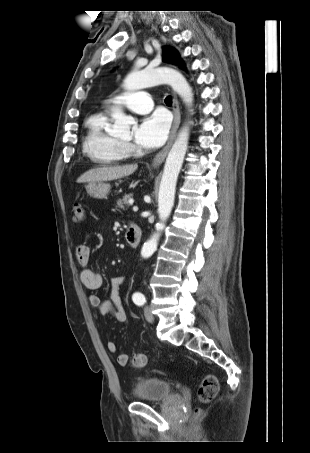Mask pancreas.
Segmentation results:
<instances>
[{
    "instance_id": "obj_1",
    "label": "pancreas",
    "mask_w": 310,
    "mask_h": 453,
    "mask_svg": "<svg viewBox=\"0 0 310 453\" xmlns=\"http://www.w3.org/2000/svg\"><path fill=\"white\" fill-rule=\"evenodd\" d=\"M133 197V194H126L123 199L117 201V206L122 210H127L130 206L129 199Z\"/></svg>"
}]
</instances>
